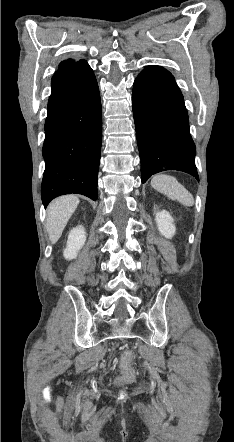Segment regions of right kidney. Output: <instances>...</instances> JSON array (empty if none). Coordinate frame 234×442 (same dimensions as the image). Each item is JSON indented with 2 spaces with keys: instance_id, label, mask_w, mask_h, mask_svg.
I'll return each instance as SVG.
<instances>
[{
  "instance_id": "right-kidney-1",
  "label": "right kidney",
  "mask_w": 234,
  "mask_h": 442,
  "mask_svg": "<svg viewBox=\"0 0 234 442\" xmlns=\"http://www.w3.org/2000/svg\"><path fill=\"white\" fill-rule=\"evenodd\" d=\"M86 241V233L82 226L73 228L68 235L67 245L64 249V257L68 260L76 258L77 252L83 247Z\"/></svg>"
}]
</instances>
